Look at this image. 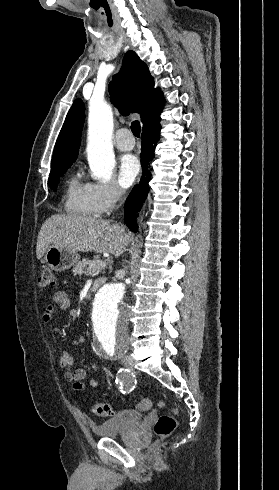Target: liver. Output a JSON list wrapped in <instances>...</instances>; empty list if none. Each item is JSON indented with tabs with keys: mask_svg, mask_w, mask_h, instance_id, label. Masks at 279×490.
Segmentation results:
<instances>
[{
	"mask_svg": "<svg viewBox=\"0 0 279 490\" xmlns=\"http://www.w3.org/2000/svg\"><path fill=\"white\" fill-rule=\"evenodd\" d=\"M124 228L108 220L85 216H51L44 222L37 238L36 256L43 258L50 244L71 252H95L121 256L130 238Z\"/></svg>",
	"mask_w": 279,
	"mask_h": 490,
	"instance_id": "1",
	"label": "liver"
}]
</instances>
